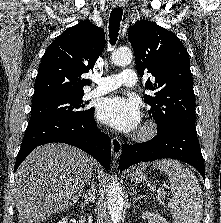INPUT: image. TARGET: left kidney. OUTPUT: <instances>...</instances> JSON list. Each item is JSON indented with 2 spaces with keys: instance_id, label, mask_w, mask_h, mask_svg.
Here are the masks:
<instances>
[{
  "instance_id": "left-kidney-1",
  "label": "left kidney",
  "mask_w": 221,
  "mask_h": 223,
  "mask_svg": "<svg viewBox=\"0 0 221 223\" xmlns=\"http://www.w3.org/2000/svg\"><path fill=\"white\" fill-rule=\"evenodd\" d=\"M142 218L147 219L148 223H168V221L163 218L160 214L153 212L143 213Z\"/></svg>"
}]
</instances>
